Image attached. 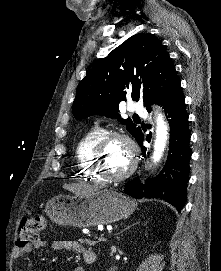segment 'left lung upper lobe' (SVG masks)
Wrapping results in <instances>:
<instances>
[{"label":"left lung upper lobe","mask_w":221,"mask_h":271,"mask_svg":"<svg viewBox=\"0 0 221 271\" xmlns=\"http://www.w3.org/2000/svg\"><path fill=\"white\" fill-rule=\"evenodd\" d=\"M179 82L161 42L138 33L97 62L80 81L72 113L76 119L93 114L116 118L136 138L141 128L130 118H120L119 103L129 96L134 101L142 98L150 111L151 101L159 104Z\"/></svg>","instance_id":"left-lung-upper-lobe-1"}]
</instances>
